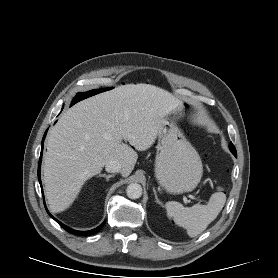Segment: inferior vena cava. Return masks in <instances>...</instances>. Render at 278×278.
Here are the masks:
<instances>
[{
	"instance_id": "1",
	"label": "inferior vena cava",
	"mask_w": 278,
	"mask_h": 278,
	"mask_svg": "<svg viewBox=\"0 0 278 278\" xmlns=\"http://www.w3.org/2000/svg\"><path fill=\"white\" fill-rule=\"evenodd\" d=\"M105 169L110 173H118L122 170V165L117 161L111 160L106 163Z\"/></svg>"
}]
</instances>
